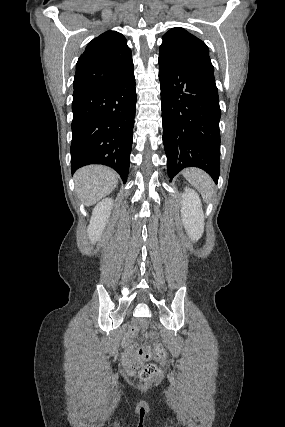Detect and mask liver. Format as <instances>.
Masks as SVG:
<instances>
[{
    "instance_id": "liver-1",
    "label": "liver",
    "mask_w": 285,
    "mask_h": 427,
    "mask_svg": "<svg viewBox=\"0 0 285 427\" xmlns=\"http://www.w3.org/2000/svg\"><path fill=\"white\" fill-rule=\"evenodd\" d=\"M74 181L81 202L92 206L116 188L118 174L105 166L90 165L77 170Z\"/></svg>"
}]
</instances>
